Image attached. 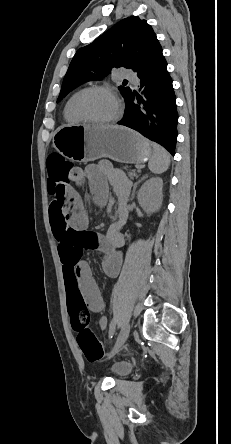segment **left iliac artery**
<instances>
[{"label": "left iliac artery", "instance_id": "obj_1", "mask_svg": "<svg viewBox=\"0 0 231 444\" xmlns=\"http://www.w3.org/2000/svg\"><path fill=\"white\" fill-rule=\"evenodd\" d=\"M115 327H116V322H115V319H113V320L111 321V324H110V330H109V337H110V338H112L113 335H114V333H115Z\"/></svg>", "mask_w": 231, "mask_h": 444}]
</instances>
